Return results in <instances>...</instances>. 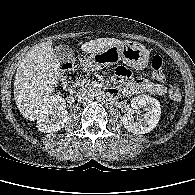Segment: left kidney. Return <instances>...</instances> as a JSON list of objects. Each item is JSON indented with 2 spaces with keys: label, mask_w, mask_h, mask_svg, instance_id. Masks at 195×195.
Segmentation results:
<instances>
[{
  "label": "left kidney",
  "mask_w": 195,
  "mask_h": 195,
  "mask_svg": "<svg viewBox=\"0 0 195 195\" xmlns=\"http://www.w3.org/2000/svg\"><path fill=\"white\" fill-rule=\"evenodd\" d=\"M140 109L145 113L138 121H134L133 114L138 113ZM160 115L161 107L157 99L148 95H139L131 100L130 111L123 116V125L129 132L145 134L157 126Z\"/></svg>",
  "instance_id": "5707ae66"
}]
</instances>
